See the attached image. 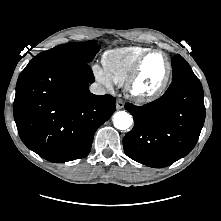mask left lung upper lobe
Instances as JSON below:
<instances>
[{
  "label": "left lung upper lobe",
  "instance_id": "left-lung-upper-lobe-1",
  "mask_svg": "<svg viewBox=\"0 0 221 221\" xmlns=\"http://www.w3.org/2000/svg\"><path fill=\"white\" fill-rule=\"evenodd\" d=\"M189 73H193L189 64L180 55H175L172 59V80Z\"/></svg>",
  "mask_w": 221,
  "mask_h": 221
}]
</instances>
